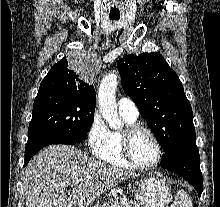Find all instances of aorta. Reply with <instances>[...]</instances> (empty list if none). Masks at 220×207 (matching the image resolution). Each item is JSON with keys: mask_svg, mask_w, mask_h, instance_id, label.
<instances>
[{"mask_svg": "<svg viewBox=\"0 0 220 207\" xmlns=\"http://www.w3.org/2000/svg\"><path fill=\"white\" fill-rule=\"evenodd\" d=\"M118 86V75L110 73L106 75L98 89L99 110L110 128L120 129L123 126L118 116L116 104V90Z\"/></svg>", "mask_w": 220, "mask_h": 207, "instance_id": "1", "label": "aorta"}]
</instances>
